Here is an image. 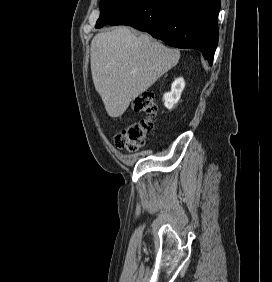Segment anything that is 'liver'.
<instances>
[{
    "label": "liver",
    "mask_w": 272,
    "mask_h": 282,
    "mask_svg": "<svg viewBox=\"0 0 272 282\" xmlns=\"http://www.w3.org/2000/svg\"><path fill=\"white\" fill-rule=\"evenodd\" d=\"M90 56L95 89L108 115L117 118L178 63L180 52L121 26L95 35Z\"/></svg>",
    "instance_id": "obj_1"
}]
</instances>
